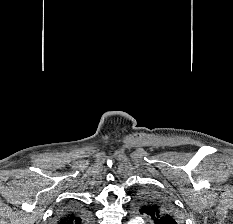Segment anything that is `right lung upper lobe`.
<instances>
[{"label": "right lung upper lobe", "instance_id": "1", "mask_svg": "<svg viewBox=\"0 0 233 224\" xmlns=\"http://www.w3.org/2000/svg\"><path fill=\"white\" fill-rule=\"evenodd\" d=\"M55 224H90V218L83 209L69 206L58 214Z\"/></svg>", "mask_w": 233, "mask_h": 224}]
</instances>
